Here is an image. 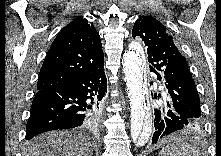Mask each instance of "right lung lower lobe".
Masks as SVG:
<instances>
[{
	"instance_id": "1",
	"label": "right lung lower lobe",
	"mask_w": 221,
	"mask_h": 156,
	"mask_svg": "<svg viewBox=\"0 0 221 156\" xmlns=\"http://www.w3.org/2000/svg\"><path fill=\"white\" fill-rule=\"evenodd\" d=\"M104 65L61 87L37 92L26 126L25 139L62 129L92 128L96 117L93 101H101L107 90Z\"/></svg>"
}]
</instances>
